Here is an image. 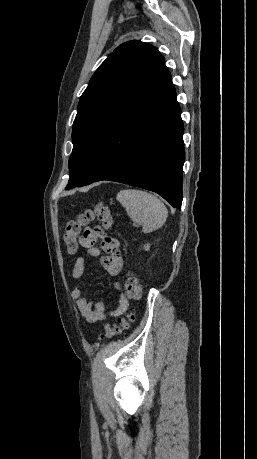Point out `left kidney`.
<instances>
[{"instance_id":"obj_1","label":"left kidney","mask_w":257,"mask_h":459,"mask_svg":"<svg viewBox=\"0 0 257 459\" xmlns=\"http://www.w3.org/2000/svg\"><path fill=\"white\" fill-rule=\"evenodd\" d=\"M150 249V244L144 245V250L148 251Z\"/></svg>"}]
</instances>
